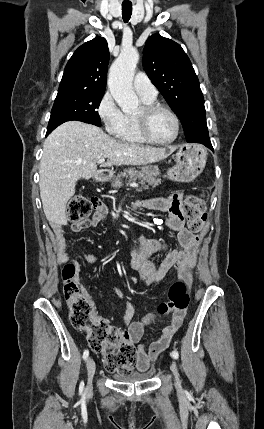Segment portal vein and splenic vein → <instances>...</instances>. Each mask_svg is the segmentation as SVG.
Listing matches in <instances>:
<instances>
[{
  "mask_svg": "<svg viewBox=\"0 0 264 429\" xmlns=\"http://www.w3.org/2000/svg\"><path fill=\"white\" fill-rule=\"evenodd\" d=\"M104 161H105V159H104V158H101V159H99V160H98V162H99V163H103ZM130 186H131V187H138V184H136V183H132V184H130Z\"/></svg>",
  "mask_w": 264,
  "mask_h": 429,
  "instance_id": "portal-vein-and-splenic-vein-1",
  "label": "portal vein and splenic vein"
}]
</instances>
